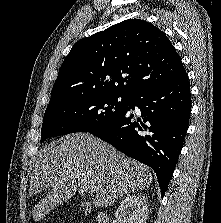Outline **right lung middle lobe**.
I'll use <instances>...</instances> for the list:
<instances>
[{
  "label": "right lung middle lobe",
  "instance_id": "right-lung-middle-lobe-1",
  "mask_svg": "<svg viewBox=\"0 0 221 223\" xmlns=\"http://www.w3.org/2000/svg\"><path fill=\"white\" fill-rule=\"evenodd\" d=\"M129 99L114 94H82L49 103L43 118L41 142L49 137L103 126L128 107Z\"/></svg>",
  "mask_w": 221,
  "mask_h": 223
}]
</instances>
